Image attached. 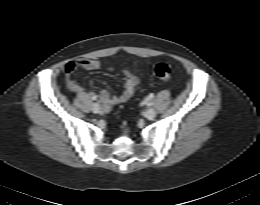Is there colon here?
<instances>
[{
	"instance_id": "5ec220e1",
	"label": "colon",
	"mask_w": 260,
	"mask_h": 205,
	"mask_svg": "<svg viewBox=\"0 0 260 205\" xmlns=\"http://www.w3.org/2000/svg\"><path fill=\"white\" fill-rule=\"evenodd\" d=\"M154 75L163 81H169L172 77V69L166 63H158L153 69Z\"/></svg>"
}]
</instances>
